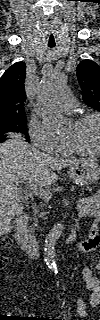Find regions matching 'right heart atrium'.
I'll return each instance as SVG.
<instances>
[{"label": "right heart atrium", "mask_w": 100, "mask_h": 320, "mask_svg": "<svg viewBox=\"0 0 100 320\" xmlns=\"http://www.w3.org/2000/svg\"><path fill=\"white\" fill-rule=\"evenodd\" d=\"M28 134L34 146L47 153H56L61 138L54 134L43 123L31 121L28 125Z\"/></svg>", "instance_id": "d8ad5b80"}]
</instances>
